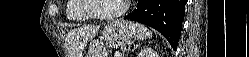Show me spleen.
<instances>
[{"label": "spleen", "instance_id": "spleen-1", "mask_svg": "<svg viewBox=\"0 0 249 57\" xmlns=\"http://www.w3.org/2000/svg\"><path fill=\"white\" fill-rule=\"evenodd\" d=\"M135 26H136L137 32H138V35H137L138 39L144 40V39L150 38L152 36L151 31H149V29L145 25H142L140 23H136Z\"/></svg>", "mask_w": 249, "mask_h": 57}]
</instances>
